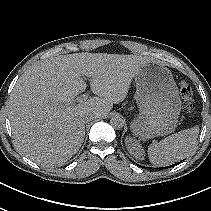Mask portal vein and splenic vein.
Listing matches in <instances>:
<instances>
[{
	"instance_id": "1",
	"label": "portal vein and splenic vein",
	"mask_w": 211,
	"mask_h": 211,
	"mask_svg": "<svg viewBox=\"0 0 211 211\" xmlns=\"http://www.w3.org/2000/svg\"><path fill=\"white\" fill-rule=\"evenodd\" d=\"M88 97H89V94L86 93V94H83V95H81L80 97H78L76 100H77V102L82 103V102H84L85 100H87Z\"/></svg>"
}]
</instances>
